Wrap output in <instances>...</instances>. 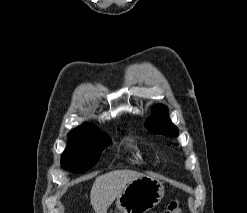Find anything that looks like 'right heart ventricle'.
Returning a JSON list of instances; mask_svg holds the SVG:
<instances>
[{
	"label": "right heart ventricle",
	"mask_w": 247,
	"mask_h": 213,
	"mask_svg": "<svg viewBox=\"0 0 247 213\" xmlns=\"http://www.w3.org/2000/svg\"><path fill=\"white\" fill-rule=\"evenodd\" d=\"M136 149V154H135V161L136 162H142L143 160V155L141 151L138 149V147H134Z\"/></svg>",
	"instance_id": "obj_1"
}]
</instances>
